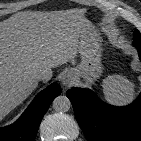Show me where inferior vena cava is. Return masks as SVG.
I'll return each instance as SVG.
<instances>
[{"mask_svg":"<svg viewBox=\"0 0 141 141\" xmlns=\"http://www.w3.org/2000/svg\"><path fill=\"white\" fill-rule=\"evenodd\" d=\"M34 77L36 80L38 81H49L52 77L51 73L47 72V71H37L35 74H34Z\"/></svg>","mask_w":141,"mask_h":141,"instance_id":"1","label":"inferior vena cava"}]
</instances>
